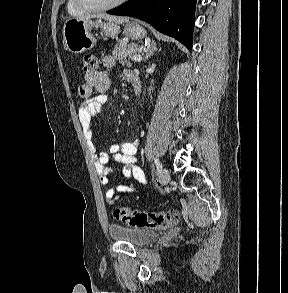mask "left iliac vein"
<instances>
[{
    "mask_svg": "<svg viewBox=\"0 0 288 293\" xmlns=\"http://www.w3.org/2000/svg\"><path fill=\"white\" fill-rule=\"evenodd\" d=\"M170 181V173L166 168L161 169L160 172V183L166 185Z\"/></svg>",
    "mask_w": 288,
    "mask_h": 293,
    "instance_id": "obj_1",
    "label": "left iliac vein"
}]
</instances>
